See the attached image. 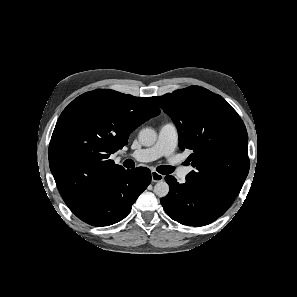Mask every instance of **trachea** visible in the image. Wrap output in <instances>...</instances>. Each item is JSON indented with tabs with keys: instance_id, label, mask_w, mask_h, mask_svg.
<instances>
[{
	"instance_id": "trachea-1",
	"label": "trachea",
	"mask_w": 297,
	"mask_h": 297,
	"mask_svg": "<svg viewBox=\"0 0 297 297\" xmlns=\"http://www.w3.org/2000/svg\"><path fill=\"white\" fill-rule=\"evenodd\" d=\"M124 166L127 167V168H132L134 166V162L130 159L126 160L124 162ZM157 171L161 174H170L174 171V167L173 166H159L157 167Z\"/></svg>"
}]
</instances>
